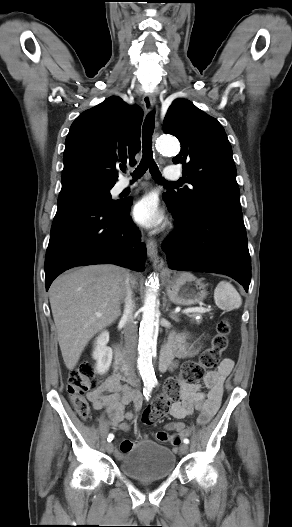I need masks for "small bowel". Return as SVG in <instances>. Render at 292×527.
<instances>
[{
	"instance_id": "1",
	"label": "small bowel",
	"mask_w": 292,
	"mask_h": 527,
	"mask_svg": "<svg viewBox=\"0 0 292 527\" xmlns=\"http://www.w3.org/2000/svg\"><path fill=\"white\" fill-rule=\"evenodd\" d=\"M164 351L168 357V366L172 365L175 356L187 357L193 354L185 334L173 335ZM232 368L233 361L226 358L216 370L209 371L204 377L206 393L201 391L198 384L180 382L177 399L171 402L168 411L177 421L168 423L165 430L169 432L160 431L157 433V439L161 442L178 445L181 437L188 432L181 420L192 415L195 410L200 412L197 422L199 424L207 423L216 414L220 406L224 381ZM87 397L94 409H105L109 416L110 425L121 431L130 430L127 421L134 418L135 412L139 410L142 404L140 394L124 384L123 380L116 374L105 380L96 390L90 391ZM128 404L134 405V411L125 410ZM132 446L131 441H123L118 454H123Z\"/></svg>"
}]
</instances>
